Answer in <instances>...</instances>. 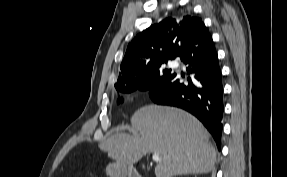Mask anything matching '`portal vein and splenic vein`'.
Listing matches in <instances>:
<instances>
[{"label": "portal vein and splenic vein", "instance_id": "obj_1", "mask_svg": "<svg viewBox=\"0 0 287 177\" xmlns=\"http://www.w3.org/2000/svg\"><path fill=\"white\" fill-rule=\"evenodd\" d=\"M152 160H153L154 162H159V161H161L159 154H158V153H154V154L152 155Z\"/></svg>", "mask_w": 287, "mask_h": 177}]
</instances>
